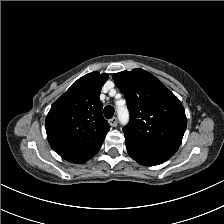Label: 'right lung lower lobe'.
Wrapping results in <instances>:
<instances>
[{
	"label": "right lung lower lobe",
	"instance_id": "obj_1",
	"mask_svg": "<svg viewBox=\"0 0 224 224\" xmlns=\"http://www.w3.org/2000/svg\"><path fill=\"white\" fill-rule=\"evenodd\" d=\"M48 141L57 154L73 163L86 162L98 152L102 145L100 144L97 147L90 148L70 137L62 135L48 136Z\"/></svg>",
	"mask_w": 224,
	"mask_h": 224
}]
</instances>
